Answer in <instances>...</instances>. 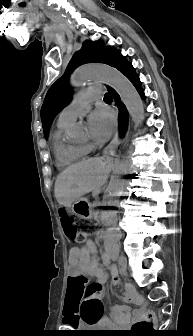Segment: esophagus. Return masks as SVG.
Returning <instances> with one entry per match:
<instances>
[{
	"label": "esophagus",
	"instance_id": "34e87169",
	"mask_svg": "<svg viewBox=\"0 0 193 336\" xmlns=\"http://www.w3.org/2000/svg\"><path fill=\"white\" fill-rule=\"evenodd\" d=\"M121 142V138L119 136V132L118 130L116 131L113 139L111 140V142L104 148L103 153H102V157L106 158L109 157L111 155H114L119 144Z\"/></svg>",
	"mask_w": 193,
	"mask_h": 336
}]
</instances>
